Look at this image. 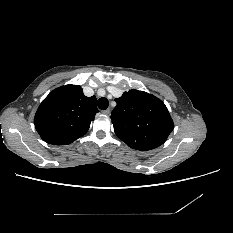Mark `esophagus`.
Masks as SVG:
<instances>
[{"instance_id": "obj_1", "label": "esophagus", "mask_w": 233, "mask_h": 233, "mask_svg": "<svg viewBox=\"0 0 233 233\" xmlns=\"http://www.w3.org/2000/svg\"><path fill=\"white\" fill-rule=\"evenodd\" d=\"M102 113L105 115H110L111 110L108 108V109L104 110Z\"/></svg>"}]
</instances>
